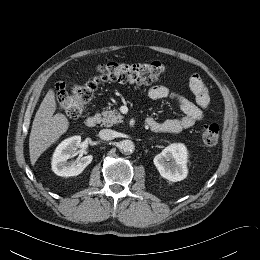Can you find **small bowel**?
I'll return each mask as SVG.
<instances>
[{
	"mask_svg": "<svg viewBox=\"0 0 260 260\" xmlns=\"http://www.w3.org/2000/svg\"><path fill=\"white\" fill-rule=\"evenodd\" d=\"M189 87L195 95L196 103L171 91L166 86L157 85L149 89L148 97L151 100L171 98L178 103L181 111L184 113L181 118H171L164 121L148 119L149 124L147 125L151 130L162 133H178L183 129L191 128L204 117V114L210 108V96L202 78L197 74L191 75Z\"/></svg>",
	"mask_w": 260,
	"mask_h": 260,
	"instance_id": "obj_1",
	"label": "small bowel"
}]
</instances>
